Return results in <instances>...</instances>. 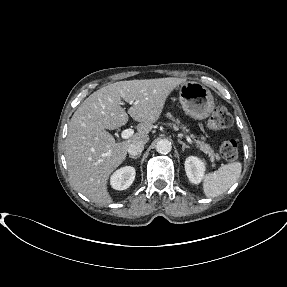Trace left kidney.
I'll return each mask as SVG.
<instances>
[{
    "mask_svg": "<svg viewBox=\"0 0 287 287\" xmlns=\"http://www.w3.org/2000/svg\"><path fill=\"white\" fill-rule=\"evenodd\" d=\"M185 171L190 182L199 184L205 172V163L195 156H189L185 161Z\"/></svg>",
    "mask_w": 287,
    "mask_h": 287,
    "instance_id": "1",
    "label": "left kidney"
}]
</instances>
